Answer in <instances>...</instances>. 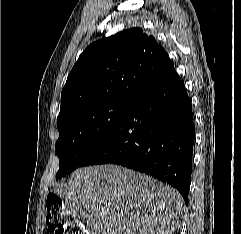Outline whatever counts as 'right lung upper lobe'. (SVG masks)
I'll return each mask as SVG.
<instances>
[{
	"label": "right lung upper lobe",
	"mask_w": 241,
	"mask_h": 234,
	"mask_svg": "<svg viewBox=\"0 0 241 234\" xmlns=\"http://www.w3.org/2000/svg\"><path fill=\"white\" fill-rule=\"evenodd\" d=\"M174 69L164 48L139 27L98 40L80 55L61 92L57 126L95 105L132 104Z\"/></svg>",
	"instance_id": "1"
}]
</instances>
